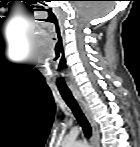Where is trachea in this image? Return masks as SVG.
I'll list each match as a JSON object with an SVG mask.
<instances>
[{
    "label": "trachea",
    "mask_w": 140,
    "mask_h": 147,
    "mask_svg": "<svg viewBox=\"0 0 140 147\" xmlns=\"http://www.w3.org/2000/svg\"><path fill=\"white\" fill-rule=\"evenodd\" d=\"M61 95H62L63 99L65 100L66 104L68 105V107L73 112L78 123L82 127L85 136L87 138H89L91 136V126H90L88 120L86 119L84 113L80 109L78 103L74 99L73 95L69 94V93H61Z\"/></svg>",
    "instance_id": "1"
}]
</instances>
